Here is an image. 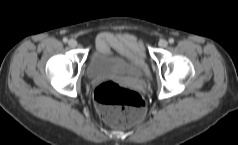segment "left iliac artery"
<instances>
[{
	"label": "left iliac artery",
	"mask_w": 238,
	"mask_h": 145,
	"mask_svg": "<svg viewBox=\"0 0 238 145\" xmlns=\"http://www.w3.org/2000/svg\"><path fill=\"white\" fill-rule=\"evenodd\" d=\"M169 43H170V44H173V43H174V39H173V38H170V39H169Z\"/></svg>",
	"instance_id": "left-iliac-artery-1"
}]
</instances>
